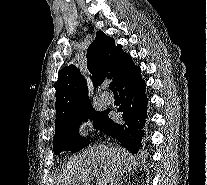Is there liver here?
Masks as SVG:
<instances>
[{
	"label": "liver",
	"instance_id": "6515ba94",
	"mask_svg": "<svg viewBox=\"0 0 207 185\" xmlns=\"http://www.w3.org/2000/svg\"><path fill=\"white\" fill-rule=\"evenodd\" d=\"M103 169L98 175V185H112L116 183V177L123 173H130L132 167H137V159L123 149V147H111V145H94L91 149H85L80 157L71 159L66 165L64 185H76L77 181H83L87 173L95 169V173Z\"/></svg>",
	"mask_w": 207,
	"mask_h": 185
}]
</instances>
